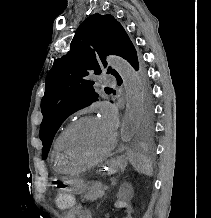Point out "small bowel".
I'll use <instances>...</instances> for the list:
<instances>
[{"instance_id": "c3829d8e", "label": "small bowel", "mask_w": 211, "mask_h": 218, "mask_svg": "<svg viewBox=\"0 0 211 218\" xmlns=\"http://www.w3.org/2000/svg\"><path fill=\"white\" fill-rule=\"evenodd\" d=\"M71 213L77 215L78 218H91L90 212L80 205L74 207ZM126 218H131V216H127Z\"/></svg>"}]
</instances>
